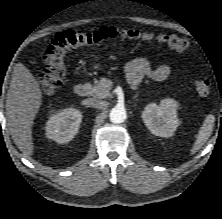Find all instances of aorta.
I'll list each match as a JSON object with an SVG mask.
<instances>
[{
  "mask_svg": "<svg viewBox=\"0 0 222 219\" xmlns=\"http://www.w3.org/2000/svg\"><path fill=\"white\" fill-rule=\"evenodd\" d=\"M109 117H110V121L113 123H116V124L122 123L125 121V119L127 117L126 110L122 106H115L110 111Z\"/></svg>",
  "mask_w": 222,
  "mask_h": 219,
  "instance_id": "762f6f07",
  "label": "aorta"
}]
</instances>
